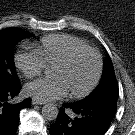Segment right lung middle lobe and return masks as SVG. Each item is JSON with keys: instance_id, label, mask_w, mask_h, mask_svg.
Masks as SVG:
<instances>
[{"instance_id": "obj_1", "label": "right lung middle lobe", "mask_w": 135, "mask_h": 135, "mask_svg": "<svg viewBox=\"0 0 135 135\" xmlns=\"http://www.w3.org/2000/svg\"><path fill=\"white\" fill-rule=\"evenodd\" d=\"M33 34L18 29L8 28L0 31V88H9L19 83L13 59L15 45Z\"/></svg>"}]
</instances>
